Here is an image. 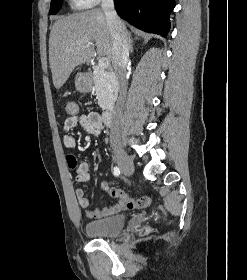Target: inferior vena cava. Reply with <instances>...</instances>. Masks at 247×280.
Here are the masks:
<instances>
[{"label": "inferior vena cava", "mask_w": 247, "mask_h": 280, "mask_svg": "<svg viewBox=\"0 0 247 280\" xmlns=\"http://www.w3.org/2000/svg\"><path fill=\"white\" fill-rule=\"evenodd\" d=\"M101 7L106 16L107 25L112 36V64L119 81L118 104L122 106L127 87L126 66L129 58L128 32L115 11L113 0H102ZM114 119L115 125L110 136L111 143L118 141V113L115 114Z\"/></svg>", "instance_id": "1"}]
</instances>
